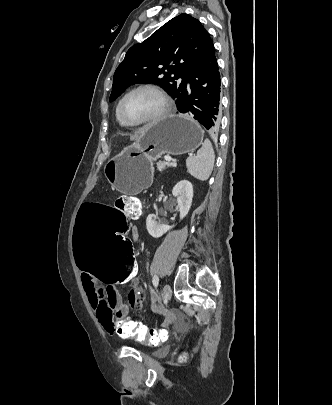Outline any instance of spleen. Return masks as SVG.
Segmentation results:
<instances>
[{
	"mask_svg": "<svg viewBox=\"0 0 332 405\" xmlns=\"http://www.w3.org/2000/svg\"><path fill=\"white\" fill-rule=\"evenodd\" d=\"M214 162L215 154L212 144L209 139H205L197 154L186 159L187 171L194 178L206 181L212 173Z\"/></svg>",
	"mask_w": 332,
	"mask_h": 405,
	"instance_id": "1",
	"label": "spleen"
}]
</instances>
